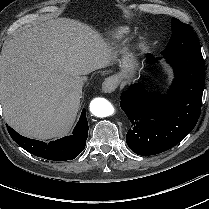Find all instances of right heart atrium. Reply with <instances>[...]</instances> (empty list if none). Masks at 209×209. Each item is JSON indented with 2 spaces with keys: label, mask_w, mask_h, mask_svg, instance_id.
Segmentation results:
<instances>
[{
  "label": "right heart atrium",
  "mask_w": 209,
  "mask_h": 209,
  "mask_svg": "<svg viewBox=\"0 0 209 209\" xmlns=\"http://www.w3.org/2000/svg\"><path fill=\"white\" fill-rule=\"evenodd\" d=\"M70 77H71V79H77L78 78V74L76 73V72H74V71H71L70 72Z\"/></svg>",
  "instance_id": "1"
}]
</instances>
